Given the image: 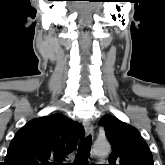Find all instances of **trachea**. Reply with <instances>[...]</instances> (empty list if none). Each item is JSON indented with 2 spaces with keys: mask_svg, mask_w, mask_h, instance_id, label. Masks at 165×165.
Here are the masks:
<instances>
[{
  "mask_svg": "<svg viewBox=\"0 0 165 165\" xmlns=\"http://www.w3.org/2000/svg\"><path fill=\"white\" fill-rule=\"evenodd\" d=\"M92 137L89 135L87 138L82 140L78 146V152L75 158L74 163H69L71 165H86V161L90 156V149H91Z\"/></svg>",
  "mask_w": 165,
  "mask_h": 165,
  "instance_id": "trachea-1",
  "label": "trachea"
}]
</instances>
